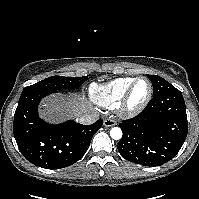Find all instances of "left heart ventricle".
Wrapping results in <instances>:
<instances>
[{
  "label": "left heart ventricle",
  "mask_w": 199,
  "mask_h": 199,
  "mask_svg": "<svg viewBox=\"0 0 199 199\" xmlns=\"http://www.w3.org/2000/svg\"><path fill=\"white\" fill-rule=\"evenodd\" d=\"M149 90V85L146 81L140 80L131 95L130 103L131 105H136L140 103L147 95Z\"/></svg>",
  "instance_id": "b2bd125f"
}]
</instances>
